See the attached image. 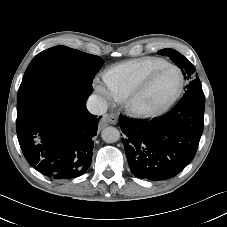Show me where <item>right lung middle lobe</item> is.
Listing matches in <instances>:
<instances>
[{
  "instance_id": "dd1d6c3e",
  "label": "right lung middle lobe",
  "mask_w": 227,
  "mask_h": 227,
  "mask_svg": "<svg viewBox=\"0 0 227 227\" xmlns=\"http://www.w3.org/2000/svg\"><path fill=\"white\" fill-rule=\"evenodd\" d=\"M103 59L66 46H55L37 54L25 71L17 101L49 86L92 92V81Z\"/></svg>"
}]
</instances>
